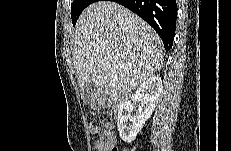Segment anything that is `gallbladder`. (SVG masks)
<instances>
[{"instance_id": "1", "label": "gallbladder", "mask_w": 231, "mask_h": 151, "mask_svg": "<svg viewBox=\"0 0 231 151\" xmlns=\"http://www.w3.org/2000/svg\"><path fill=\"white\" fill-rule=\"evenodd\" d=\"M96 95L95 86L91 82H86L82 91L83 101L86 103H93Z\"/></svg>"}]
</instances>
